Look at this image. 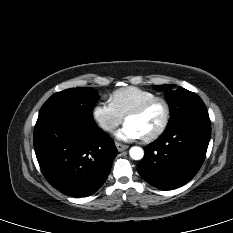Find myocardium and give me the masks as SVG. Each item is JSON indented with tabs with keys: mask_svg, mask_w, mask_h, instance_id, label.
Wrapping results in <instances>:
<instances>
[{
	"mask_svg": "<svg viewBox=\"0 0 233 233\" xmlns=\"http://www.w3.org/2000/svg\"><path fill=\"white\" fill-rule=\"evenodd\" d=\"M157 102L162 103V105L164 106V111H165L164 119H163V122L160 125V127L155 132H153L147 136L142 137L143 140L146 142L156 140L166 131V129L169 125V122H170V117H171V107H170L169 102L164 97L155 96L153 98H150V99L144 101L143 103H141L137 107L130 110L124 117V120L126 121L129 117L141 115L150 106H152L153 104H155Z\"/></svg>",
	"mask_w": 233,
	"mask_h": 233,
	"instance_id": "f54148a6",
	"label": "myocardium"
}]
</instances>
